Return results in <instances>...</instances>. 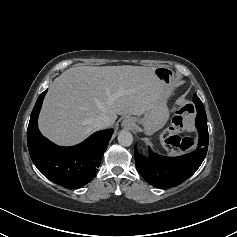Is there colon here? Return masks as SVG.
<instances>
[{
  "instance_id": "colon-1",
  "label": "colon",
  "mask_w": 237,
  "mask_h": 237,
  "mask_svg": "<svg viewBox=\"0 0 237 237\" xmlns=\"http://www.w3.org/2000/svg\"><path fill=\"white\" fill-rule=\"evenodd\" d=\"M194 107L191 104L180 107L173 117L168 132L164 135L167 143H176L182 148H188L192 142L188 138H180L177 133L187 131L193 124Z\"/></svg>"
}]
</instances>
